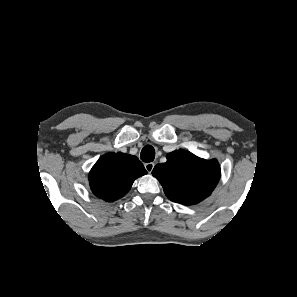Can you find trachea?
Masks as SVG:
<instances>
[{
	"mask_svg": "<svg viewBox=\"0 0 297 297\" xmlns=\"http://www.w3.org/2000/svg\"><path fill=\"white\" fill-rule=\"evenodd\" d=\"M140 158L143 162H152L155 158V150L151 145H146L141 150Z\"/></svg>",
	"mask_w": 297,
	"mask_h": 297,
	"instance_id": "3493384b",
	"label": "trachea"
}]
</instances>
